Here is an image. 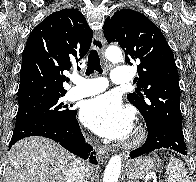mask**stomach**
Segmentation results:
<instances>
[{
	"instance_id": "obj_1",
	"label": "stomach",
	"mask_w": 196,
	"mask_h": 182,
	"mask_svg": "<svg viewBox=\"0 0 196 182\" xmlns=\"http://www.w3.org/2000/svg\"><path fill=\"white\" fill-rule=\"evenodd\" d=\"M160 160L150 157H144L135 160L126 170V175L130 180L137 181L144 177L148 172L159 166Z\"/></svg>"
}]
</instances>
